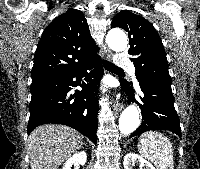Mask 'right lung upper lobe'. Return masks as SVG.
<instances>
[{"instance_id":"1","label":"right lung upper lobe","mask_w":200,"mask_h":169,"mask_svg":"<svg viewBox=\"0 0 200 169\" xmlns=\"http://www.w3.org/2000/svg\"><path fill=\"white\" fill-rule=\"evenodd\" d=\"M98 50L84 14L70 8L44 30L34 55L32 83L73 72L97 57Z\"/></svg>"}]
</instances>
